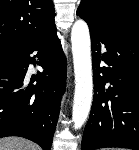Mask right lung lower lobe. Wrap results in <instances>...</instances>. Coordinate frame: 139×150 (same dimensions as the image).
<instances>
[{"mask_svg":"<svg viewBox=\"0 0 139 150\" xmlns=\"http://www.w3.org/2000/svg\"><path fill=\"white\" fill-rule=\"evenodd\" d=\"M35 63L43 72L31 78L36 85L26 87L28 66ZM65 83L66 59L55 24L36 41L0 55V138L24 137L50 150Z\"/></svg>","mask_w":139,"mask_h":150,"instance_id":"1","label":"right lung lower lobe"}]
</instances>
